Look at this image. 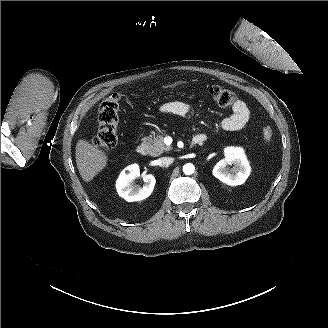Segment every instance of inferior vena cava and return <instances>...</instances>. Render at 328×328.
Segmentation results:
<instances>
[{
	"label": "inferior vena cava",
	"instance_id": "obj_1",
	"mask_svg": "<svg viewBox=\"0 0 328 328\" xmlns=\"http://www.w3.org/2000/svg\"><path fill=\"white\" fill-rule=\"evenodd\" d=\"M173 161L174 159L172 157H162L159 159V166L168 167Z\"/></svg>",
	"mask_w": 328,
	"mask_h": 328
}]
</instances>
